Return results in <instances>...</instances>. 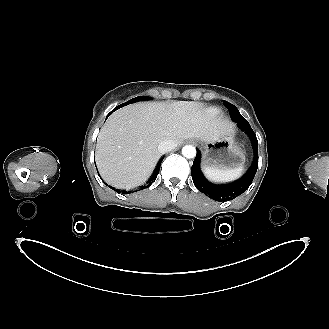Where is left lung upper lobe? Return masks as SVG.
I'll return each mask as SVG.
<instances>
[{
	"label": "left lung upper lobe",
	"mask_w": 329,
	"mask_h": 329,
	"mask_svg": "<svg viewBox=\"0 0 329 329\" xmlns=\"http://www.w3.org/2000/svg\"><path fill=\"white\" fill-rule=\"evenodd\" d=\"M225 106L227 107V109L229 110L230 116L231 118L236 121L237 123H240L242 121H245L246 119L243 118L241 116V114L239 113L238 109L232 105L231 103L224 101Z\"/></svg>",
	"instance_id": "left-lung-upper-lobe-1"
}]
</instances>
